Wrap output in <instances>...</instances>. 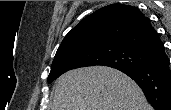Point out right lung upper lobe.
Masks as SVG:
<instances>
[{
  "label": "right lung upper lobe",
  "mask_w": 171,
  "mask_h": 110,
  "mask_svg": "<svg viewBox=\"0 0 171 110\" xmlns=\"http://www.w3.org/2000/svg\"><path fill=\"white\" fill-rule=\"evenodd\" d=\"M89 45L123 46L151 56L164 46L149 18L124 4L108 5L85 17L65 36L56 54Z\"/></svg>",
  "instance_id": "1"
}]
</instances>
